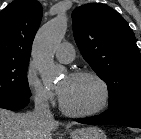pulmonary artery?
Returning a JSON list of instances; mask_svg holds the SVG:
<instances>
[{"mask_svg": "<svg viewBox=\"0 0 141 139\" xmlns=\"http://www.w3.org/2000/svg\"><path fill=\"white\" fill-rule=\"evenodd\" d=\"M55 56L60 62L70 63L74 59L75 51L70 43L63 42L57 47Z\"/></svg>", "mask_w": 141, "mask_h": 139, "instance_id": "e3ab8cb5", "label": "pulmonary artery"}]
</instances>
